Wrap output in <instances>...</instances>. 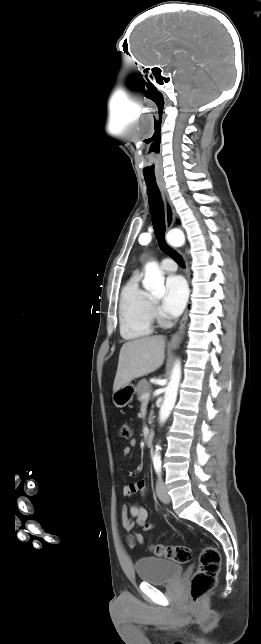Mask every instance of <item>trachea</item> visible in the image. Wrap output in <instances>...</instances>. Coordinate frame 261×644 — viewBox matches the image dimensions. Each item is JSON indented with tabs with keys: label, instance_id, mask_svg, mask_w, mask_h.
<instances>
[{
	"label": "trachea",
	"instance_id": "trachea-1",
	"mask_svg": "<svg viewBox=\"0 0 261 644\" xmlns=\"http://www.w3.org/2000/svg\"><path fill=\"white\" fill-rule=\"evenodd\" d=\"M147 186V195L148 202L150 207V212L152 216L153 227L155 230L156 239L161 247V249L169 254L173 259L182 267L185 266L182 257L174 251L165 240V218H164V208L163 201L161 198V193L159 187L156 183V180H147L145 179Z\"/></svg>",
	"mask_w": 261,
	"mask_h": 644
}]
</instances>
